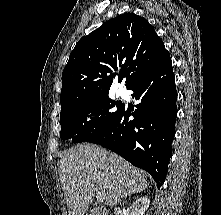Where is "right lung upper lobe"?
<instances>
[{"instance_id": "right-lung-upper-lobe-1", "label": "right lung upper lobe", "mask_w": 221, "mask_h": 215, "mask_svg": "<svg viewBox=\"0 0 221 215\" xmlns=\"http://www.w3.org/2000/svg\"><path fill=\"white\" fill-rule=\"evenodd\" d=\"M169 58L149 22L134 13L113 18L82 37L62 73L61 107L108 93L121 68L129 88Z\"/></svg>"}]
</instances>
